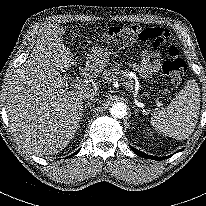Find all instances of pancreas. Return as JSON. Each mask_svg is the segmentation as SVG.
Wrapping results in <instances>:
<instances>
[{"instance_id": "pancreas-1", "label": "pancreas", "mask_w": 206, "mask_h": 206, "mask_svg": "<svg viewBox=\"0 0 206 206\" xmlns=\"http://www.w3.org/2000/svg\"><path fill=\"white\" fill-rule=\"evenodd\" d=\"M126 72L119 67H113L108 70H104L103 78L106 81H123Z\"/></svg>"}]
</instances>
